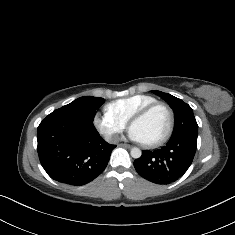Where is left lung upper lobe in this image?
Instances as JSON below:
<instances>
[{
  "instance_id": "obj_1",
  "label": "left lung upper lobe",
  "mask_w": 235,
  "mask_h": 235,
  "mask_svg": "<svg viewBox=\"0 0 235 235\" xmlns=\"http://www.w3.org/2000/svg\"><path fill=\"white\" fill-rule=\"evenodd\" d=\"M153 93L163 98L173 109L175 124L172 137L177 136H198V124L195 120L192 108L181 99L168 93L153 90Z\"/></svg>"
}]
</instances>
